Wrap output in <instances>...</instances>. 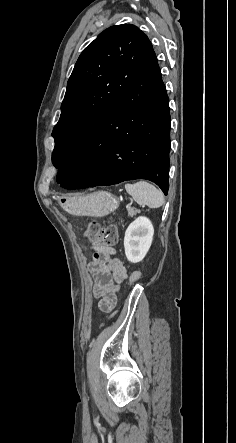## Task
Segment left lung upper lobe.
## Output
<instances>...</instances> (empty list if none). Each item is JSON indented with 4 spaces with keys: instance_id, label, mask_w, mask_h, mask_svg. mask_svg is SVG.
<instances>
[{
    "instance_id": "1",
    "label": "left lung upper lobe",
    "mask_w": 236,
    "mask_h": 443,
    "mask_svg": "<svg viewBox=\"0 0 236 443\" xmlns=\"http://www.w3.org/2000/svg\"><path fill=\"white\" fill-rule=\"evenodd\" d=\"M153 53L148 37L130 24L106 29L81 53L67 83L60 119L52 132V162L57 169L71 160Z\"/></svg>"
}]
</instances>
